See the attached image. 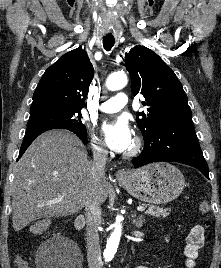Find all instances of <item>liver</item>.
Instances as JSON below:
<instances>
[{
  "mask_svg": "<svg viewBox=\"0 0 221 268\" xmlns=\"http://www.w3.org/2000/svg\"><path fill=\"white\" fill-rule=\"evenodd\" d=\"M92 163L81 141L64 130L40 135L15 165L12 183V221L15 231L44 217H62L79 212L91 186ZM111 190L101 180L100 199ZM59 197H63L59 200Z\"/></svg>",
  "mask_w": 221,
  "mask_h": 268,
  "instance_id": "liver-1",
  "label": "liver"
}]
</instances>
